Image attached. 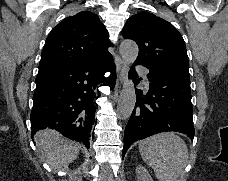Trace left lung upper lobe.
<instances>
[{
	"instance_id": "1",
	"label": "left lung upper lobe",
	"mask_w": 228,
	"mask_h": 181,
	"mask_svg": "<svg viewBox=\"0 0 228 181\" xmlns=\"http://www.w3.org/2000/svg\"><path fill=\"white\" fill-rule=\"evenodd\" d=\"M122 35L137 43V60L159 64L189 76L184 40L168 21L142 11L127 20Z\"/></svg>"
}]
</instances>
